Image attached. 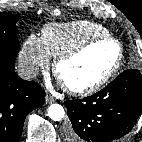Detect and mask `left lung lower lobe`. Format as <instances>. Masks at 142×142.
<instances>
[{
	"mask_svg": "<svg viewBox=\"0 0 142 142\" xmlns=\"http://www.w3.org/2000/svg\"><path fill=\"white\" fill-rule=\"evenodd\" d=\"M65 106L70 119L66 142L120 141L142 111V75L126 70L101 91L66 101Z\"/></svg>",
	"mask_w": 142,
	"mask_h": 142,
	"instance_id": "0a47b994",
	"label": "left lung lower lobe"
}]
</instances>
